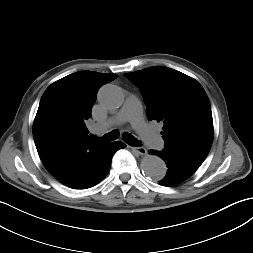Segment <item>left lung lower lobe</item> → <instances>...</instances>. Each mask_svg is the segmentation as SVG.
I'll use <instances>...</instances> for the list:
<instances>
[{"label": "left lung lower lobe", "mask_w": 253, "mask_h": 253, "mask_svg": "<svg viewBox=\"0 0 253 253\" xmlns=\"http://www.w3.org/2000/svg\"><path fill=\"white\" fill-rule=\"evenodd\" d=\"M149 153L158 155L167 165L166 176L158 182L162 186H173L186 180L204 161V158L165 148L161 152L150 150Z\"/></svg>", "instance_id": "1"}]
</instances>
